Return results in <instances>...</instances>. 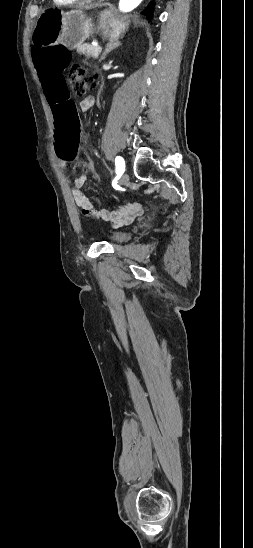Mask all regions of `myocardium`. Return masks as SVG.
Wrapping results in <instances>:
<instances>
[{
	"label": "myocardium",
	"instance_id": "f54148a6",
	"mask_svg": "<svg viewBox=\"0 0 253 548\" xmlns=\"http://www.w3.org/2000/svg\"><path fill=\"white\" fill-rule=\"evenodd\" d=\"M84 1H91V0H84ZM94 1H100V0H94Z\"/></svg>",
	"mask_w": 253,
	"mask_h": 548
}]
</instances>
